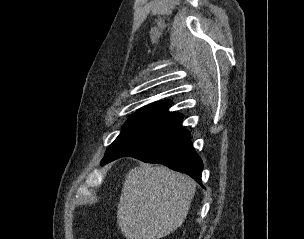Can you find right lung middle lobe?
Segmentation results:
<instances>
[{
	"label": "right lung middle lobe",
	"instance_id": "1",
	"mask_svg": "<svg viewBox=\"0 0 304 239\" xmlns=\"http://www.w3.org/2000/svg\"><path fill=\"white\" fill-rule=\"evenodd\" d=\"M167 122L169 121L164 118L142 113H134L123 126L120 135L109 146L105 156L163 126Z\"/></svg>",
	"mask_w": 304,
	"mask_h": 239
}]
</instances>
